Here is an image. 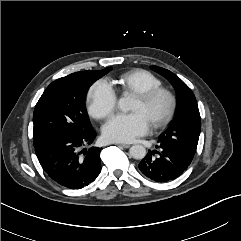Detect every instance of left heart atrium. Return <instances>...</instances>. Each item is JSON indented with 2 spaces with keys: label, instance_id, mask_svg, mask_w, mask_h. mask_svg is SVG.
<instances>
[{
  "label": "left heart atrium",
  "instance_id": "left-heart-atrium-1",
  "mask_svg": "<svg viewBox=\"0 0 241 241\" xmlns=\"http://www.w3.org/2000/svg\"><path fill=\"white\" fill-rule=\"evenodd\" d=\"M150 128L151 122L142 112L117 114L104 125L103 136L110 142L128 143L148 133Z\"/></svg>",
  "mask_w": 241,
  "mask_h": 241
}]
</instances>
